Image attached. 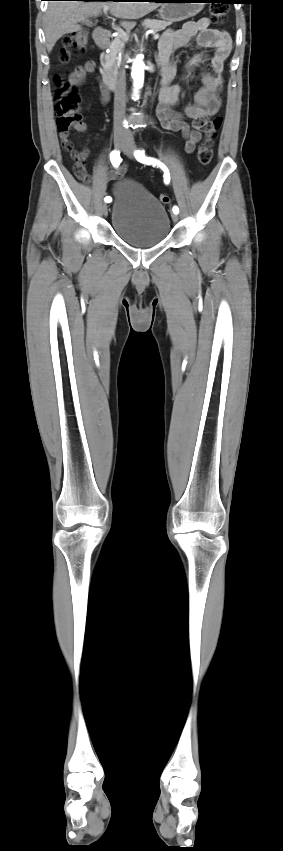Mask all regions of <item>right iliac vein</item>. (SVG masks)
<instances>
[{
	"instance_id": "obj_1",
	"label": "right iliac vein",
	"mask_w": 283,
	"mask_h": 851,
	"mask_svg": "<svg viewBox=\"0 0 283 851\" xmlns=\"http://www.w3.org/2000/svg\"><path fill=\"white\" fill-rule=\"evenodd\" d=\"M115 146H116V148H118V149H120V150H123L125 145H124V142H123V140H122V139H116V140H115ZM102 212H103V214H104L105 216H107V214H108V206H107V204H103V205H102Z\"/></svg>"
}]
</instances>
